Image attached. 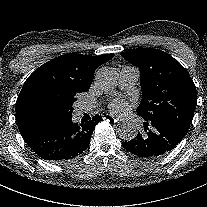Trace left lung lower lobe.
<instances>
[{
  "instance_id": "obj_1",
  "label": "left lung lower lobe",
  "mask_w": 207,
  "mask_h": 207,
  "mask_svg": "<svg viewBox=\"0 0 207 207\" xmlns=\"http://www.w3.org/2000/svg\"><path fill=\"white\" fill-rule=\"evenodd\" d=\"M143 125L145 135L138 133L135 139L122 142L127 151L139 157L153 158L164 155L184 138L168 124L145 121Z\"/></svg>"
}]
</instances>
